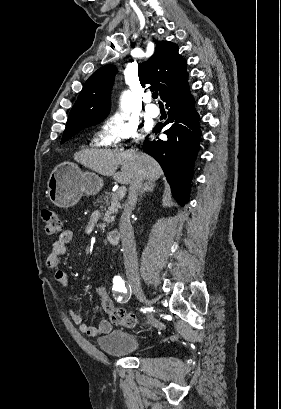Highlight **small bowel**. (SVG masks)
<instances>
[{
	"label": "small bowel",
	"instance_id": "c3829d8e",
	"mask_svg": "<svg viewBox=\"0 0 281 409\" xmlns=\"http://www.w3.org/2000/svg\"><path fill=\"white\" fill-rule=\"evenodd\" d=\"M72 231L71 230H64L57 238V240L53 243L51 251L47 257L46 263L47 266L51 269L55 270V279L56 281L64 287H67L69 284V275L66 271L62 269H58L59 259L63 256L66 252V246L72 240ZM95 294L98 296L101 302V306L103 310L109 315V319L102 320L99 326H90L87 325L81 314V310L78 306L77 301L69 297L67 300L68 303V311L71 320L73 323L78 327L80 333L90 336V337H97L100 335L109 334L113 331L116 325H119L115 321L112 320V315L115 311L118 310L116 308L114 301L109 296L105 287H96L94 288Z\"/></svg>",
	"mask_w": 281,
	"mask_h": 409
}]
</instances>
